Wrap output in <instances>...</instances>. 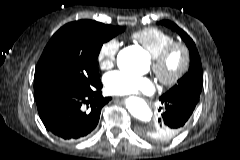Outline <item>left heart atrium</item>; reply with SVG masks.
<instances>
[{
  "label": "left heart atrium",
  "instance_id": "39dd6f15",
  "mask_svg": "<svg viewBox=\"0 0 240 160\" xmlns=\"http://www.w3.org/2000/svg\"><path fill=\"white\" fill-rule=\"evenodd\" d=\"M105 87L109 93L117 95L154 91V83L150 78L137 77L120 71L108 74L105 78Z\"/></svg>",
  "mask_w": 240,
  "mask_h": 160
}]
</instances>
